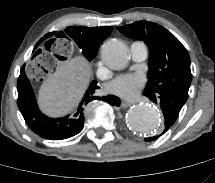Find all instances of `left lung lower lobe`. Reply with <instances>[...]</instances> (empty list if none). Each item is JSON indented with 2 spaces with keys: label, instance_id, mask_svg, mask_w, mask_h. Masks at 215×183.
Listing matches in <instances>:
<instances>
[{
  "label": "left lung lower lobe",
  "instance_id": "0a47b994",
  "mask_svg": "<svg viewBox=\"0 0 215 183\" xmlns=\"http://www.w3.org/2000/svg\"><path fill=\"white\" fill-rule=\"evenodd\" d=\"M144 95L147 97H150V99L153 102L155 103L158 102L160 104L165 118V129L162 133L164 134L176 121L179 115V112L183 107V105L185 104L186 100L182 99L176 93L169 92V91H162L154 95H149V94H144ZM158 137L159 136L146 138L145 140L151 141V140L157 139Z\"/></svg>",
  "mask_w": 215,
  "mask_h": 183
}]
</instances>
